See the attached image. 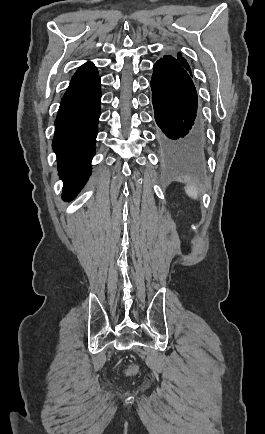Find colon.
<instances>
[{
    "label": "colon",
    "mask_w": 265,
    "mask_h": 434,
    "mask_svg": "<svg viewBox=\"0 0 265 434\" xmlns=\"http://www.w3.org/2000/svg\"><path fill=\"white\" fill-rule=\"evenodd\" d=\"M127 373L130 375H134L137 373V368L134 365H131L128 369H127Z\"/></svg>",
    "instance_id": "1"
}]
</instances>
